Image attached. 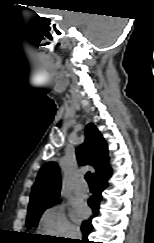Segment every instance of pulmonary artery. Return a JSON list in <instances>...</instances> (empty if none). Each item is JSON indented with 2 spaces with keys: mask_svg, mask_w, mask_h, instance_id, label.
Segmentation results:
<instances>
[{
  "mask_svg": "<svg viewBox=\"0 0 154 243\" xmlns=\"http://www.w3.org/2000/svg\"><path fill=\"white\" fill-rule=\"evenodd\" d=\"M74 193L78 197H86L88 195V188L85 186L83 181L76 185Z\"/></svg>",
  "mask_w": 154,
  "mask_h": 243,
  "instance_id": "obj_1",
  "label": "pulmonary artery"
}]
</instances>
